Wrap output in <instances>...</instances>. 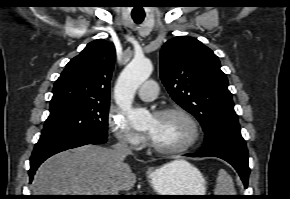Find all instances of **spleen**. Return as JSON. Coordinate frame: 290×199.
<instances>
[{"mask_svg":"<svg viewBox=\"0 0 290 199\" xmlns=\"http://www.w3.org/2000/svg\"><path fill=\"white\" fill-rule=\"evenodd\" d=\"M215 195H236L231 176L224 170H219L215 186Z\"/></svg>","mask_w":290,"mask_h":199,"instance_id":"spleen-1","label":"spleen"}]
</instances>
